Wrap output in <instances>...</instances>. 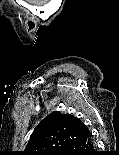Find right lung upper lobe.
Segmentation results:
<instances>
[{"instance_id":"cb5924a9","label":"right lung upper lobe","mask_w":119,"mask_h":155,"mask_svg":"<svg viewBox=\"0 0 119 155\" xmlns=\"http://www.w3.org/2000/svg\"><path fill=\"white\" fill-rule=\"evenodd\" d=\"M88 132L84 123L71 114L52 112L34 129L22 155H61Z\"/></svg>"}]
</instances>
